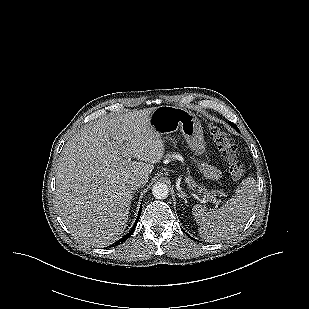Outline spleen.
<instances>
[{
  "label": "spleen",
  "instance_id": "spleen-1",
  "mask_svg": "<svg viewBox=\"0 0 309 309\" xmlns=\"http://www.w3.org/2000/svg\"><path fill=\"white\" fill-rule=\"evenodd\" d=\"M257 196L255 179L247 177L242 180L235 195L219 209L195 205L193 215L199 225L200 236L208 242L229 239L244 227L251 216Z\"/></svg>",
  "mask_w": 309,
  "mask_h": 309
}]
</instances>
